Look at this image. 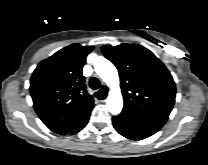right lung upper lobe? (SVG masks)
I'll return each instance as SVG.
<instances>
[{
    "mask_svg": "<svg viewBox=\"0 0 208 165\" xmlns=\"http://www.w3.org/2000/svg\"><path fill=\"white\" fill-rule=\"evenodd\" d=\"M93 46L71 44L41 61L30 80L34 108L42 122L61 135L76 134L88 120L93 98L87 93L83 66Z\"/></svg>",
    "mask_w": 208,
    "mask_h": 165,
    "instance_id": "1",
    "label": "right lung upper lobe"
}]
</instances>
